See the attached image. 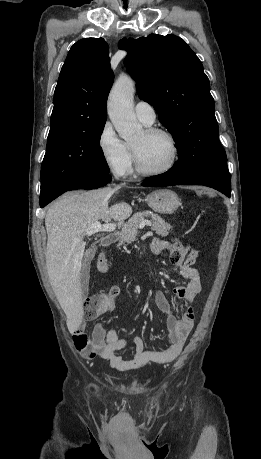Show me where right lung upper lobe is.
I'll return each instance as SVG.
<instances>
[{
	"mask_svg": "<svg viewBox=\"0 0 261 459\" xmlns=\"http://www.w3.org/2000/svg\"><path fill=\"white\" fill-rule=\"evenodd\" d=\"M113 80L109 47L104 39L86 38L75 43L55 88L48 136L106 122L107 98Z\"/></svg>",
	"mask_w": 261,
	"mask_h": 459,
	"instance_id": "obj_1",
	"label": "right lung upper lobe"
}]
</instances>
